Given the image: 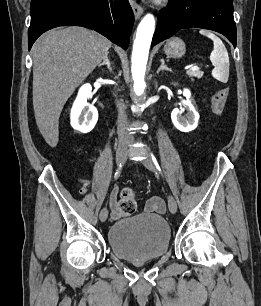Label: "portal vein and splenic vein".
I'll return each mask as SVG.
<instances>
[{
	"label": "portal vein and splenic vein",
	"mask_w": 261,
	"mask_h": 306,
	"mask_svg": "<svg viewBox=\"0 0 261 306\" xmlns=\"http://www.w3.org/2000/svg\"><path fill=\"white\" fill-rule=\"evenodd\" d=\"M200 68L198 67V66H192L191 68H190V70L191 71H198Z\"/></svg>",
	"instance_id": "1"
}]
</instances>
